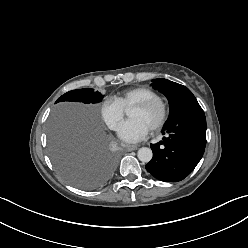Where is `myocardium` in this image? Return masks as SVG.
Here are the masks:
<instances>
[{
  "label": "myocardium",
  "instance_id": "1",
  "mask_svg": "<svg viewBox=\"0 0 248 248\" xmlns=\"http://www.w3.org/2000/svg\"><path fill=\"white\" fill-rule=\"evenodd\" d=\"M153 107L158 108L159 114L154 123L149 127V130L158 131L164 126L168 118V106L164 99L159 96H154L134 104L131 108L148 110Z\"/></svg>",
  "mask_w": 248,
  "mask_h": 248
}]
</instances>
